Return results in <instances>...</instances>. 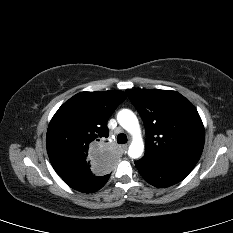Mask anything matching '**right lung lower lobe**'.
I'll use <instances>...</instances> for the list:
<instances>
[{"label": "right lung lower lobe", "instance_id": "right-lung-lower-lobe-1", "mask_svg": "<svg viewBox=\"0 0 233 233\" xmlns=\"http://www.w3.org/2000/svg\"><path fill=\"white\" fill-rule=\"evenodd\" d=\"M110 174L95 175L93 171L62 178L71 188L84 193H93L102 188Z\"/></svg>", "mask_w": 233, "mask_h": 233}]
</instances>
